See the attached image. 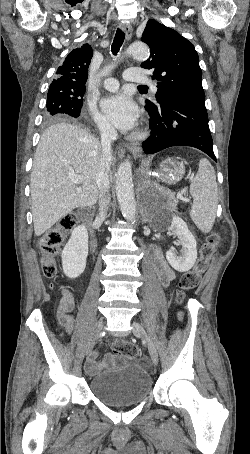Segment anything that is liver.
<instances>
[{
    "label": "liver",
    "mask_w": 250,
    "mask_h": 454,
    "mask_svg": "<svg viewBox=\"0 0 250 454\" xmlns=\"http://www.w3.org/2000/svg\"><path fill=\"white\" fill-rule=\"evenodd\" d=\"M101 155L99 141L76 125L58 123L43 132L30 179L36 236L72 210L97 202ZM73 175L79 176L78 183L72 181Z\"/></svg>",
    "instance_id": "1"
}]
</instances>
